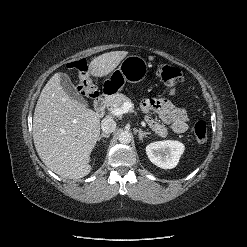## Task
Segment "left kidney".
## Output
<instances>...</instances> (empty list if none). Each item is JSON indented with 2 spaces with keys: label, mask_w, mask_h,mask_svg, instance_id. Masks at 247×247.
Wrapping results in <instances>:
<instances>
[{
  "label": "left kidney",
  "mask_w": 247,
  "mask_h": 247,
  "mask_svg": "<svg viewBox=\"0 0 247 247\" xmlns=\"http://www.w3.org/2000/svg\"><path fill=\"white\" fill-rule=\"evenodd\" d=\"M184 150V145L174 140L157 141L146 146L150 161L162 169L176 167Z\"/></svg>",
  "instance_id": "obj_1"
}]
</instances>
